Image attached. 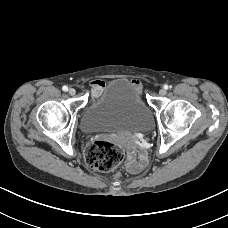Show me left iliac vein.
<instances>
[{"instance_id":"1","label":"left iliac vein","mask_w":228,"mask_h":228,"mask_svg":"<svg viewBox=\"0 0 228 228\" xmlns=\"http://www.w3.org/2000/svg\"><path fill=\"white\" fill-rule=\"evenodd\" d=\"M159 94L161 95V96H164L165 94H166V90L165 89H160L159 90Z\"/></svg>"}]
</instances>
